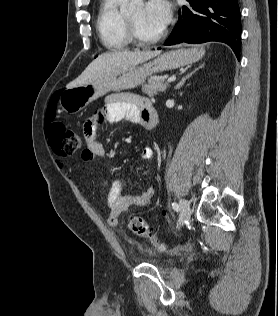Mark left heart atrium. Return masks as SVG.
Here are the masks:
<instances>
[{"instance_id":"39dd6f15","label":"left heart atrium","mask_w":278,"mask_h":316,"mask_svg":"<svg viewBox=\"0 0 278 316\" xmlns=\"http://www.w3.org/2000/svg\"><path fill=\"white\" fill-rule=\"evenodd\" d=\"M144 9L146 20L160 30L171 21L172 5L168 0H148Z\"/></svg>"}]
</instances>
